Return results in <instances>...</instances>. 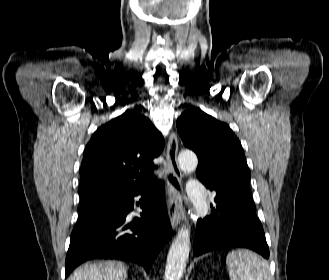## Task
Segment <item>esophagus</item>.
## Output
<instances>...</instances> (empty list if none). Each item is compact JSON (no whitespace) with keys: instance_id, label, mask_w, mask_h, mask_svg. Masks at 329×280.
<instances>
[{"instance_id":"1","label":"esophagus","mask_w":329,"mask_h":280,"mask_svg":"<svg viewBox=\"0 0 329 280\" xmlns=\"http://www.w3.org/2000/svg\"><path fill=\"white\" fill-rule=\"evenodd\" d=\"M178 139L177 135L172 132L170 134L167 145V163L170 171L181 182L182 173L178 165ZM168 192V215L173 229H176L183 217L182 199L178 190L170 183H167Z\"/></svg>"}]
</instances>
